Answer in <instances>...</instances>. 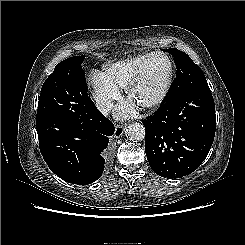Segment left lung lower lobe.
Listing matches in <instances>:
<instances>
[{
	"label": "left lung lower lobe",
	"instance_id": "1",
	"mask_svg": "<svg viewBox=\"0 0 245 245\" xmlns=\"http://www.w3.org/2000/svg\"><path fill=\"white\" fill-rule=\"evenodd\" d=\"M143 124L152 170L168 179L189 175L205 160L215 136V104L208 84L195 85L167 100Z\"/></svg>",
	"mask_w": 245,
	"mask_h": 245
}]
</instances>
